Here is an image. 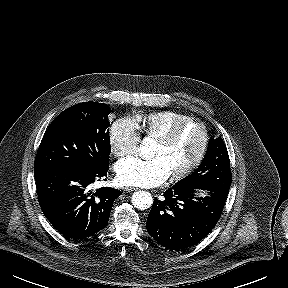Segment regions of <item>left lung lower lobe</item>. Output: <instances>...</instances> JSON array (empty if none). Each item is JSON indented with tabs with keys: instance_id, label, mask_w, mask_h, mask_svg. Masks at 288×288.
Instances as JSON below:
<instances>
[{
	"instance_id": "obj_1",
	"label": "left lung lower lobe",
	"mask_w": 288,
	"mask_h": 288,
	"mask_svg": "<svg viewBox=\"0 0 288 288\" xmlns=\"http://www.w3.org/2000/svg\"><path fill=\"white\" fill-rule=\"evenodd\" d=\"M207 196L199 197V191ZM154 199L147 218L148 233L162 246L183 250L205 238L217 224L227 196L198 187L175 184Z\"/></svg>"
}]
</instances>
